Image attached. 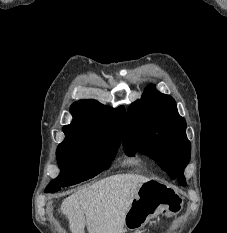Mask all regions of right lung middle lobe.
<instances>
[{
	"label": "right lung middle lobe",
	"mask_w": 227,
	"mask_h": 233,
	"mask_svg": "<svg viewBox=\"0 0 227 233\" xmlns=\"http://www.w3.org/2000/svg\"><path fill=\"white\" fill-rule=\"evenodd\" d=\"M120 143L121 138L116 136L97 141L65 138L56 151L61 172L45 192L54 193L61 187L89 180L108 169Z\"/></svg>",
	"instance_id": "right-lung-middle-lobe-1"
}]
</instances>
